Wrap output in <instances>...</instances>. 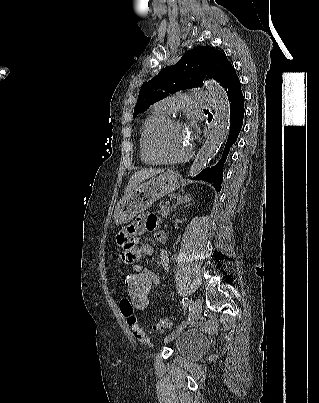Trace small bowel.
I'll use <instances>...</instances> for the list:
<instances>
[{
	"instance_id": "1",
	"label": "small bowel",
	"mask_w": 319,
	"mask_h": 403,
	"mask_svg": "<svg viewBox=\"0 0 319 403\" xmlns=\"http://www.w3.org/2000/svg\"><path fill=\"white\" fill-rule=\"evenodd\" d=\"M160 220L155 214H142L139 215L132 224H125L121 227V231L115 232V247L121 248V261L127 264H134L135 258H139L142 255H151L153 253V247L148 244H142L140 239H136V236L142 235L146 232H151L154 234L156 241L160 244H165L167 242L166 234L159 230ZM135 248H138L135 251ZM159 261L163 268L169 270V257L165 250H161L158 254ZM141 267H145L140 263ZM145 275H154L155 281L151 286H159L161 279L158 275L151 272L145 267ZM126 285V280H125ZM127 290V287H126ZM157 297L149 300L150 302H156ZM135 310V305L133 304ZM130 339V336H129Z\"/></svg>"
}]
</instances>
